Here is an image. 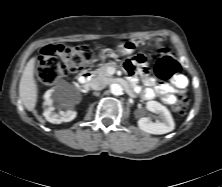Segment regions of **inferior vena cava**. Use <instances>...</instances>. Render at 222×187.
<instances>
[{
	"label": "inferior vena cava",
	"instance_id": "obj_1",
	"mask_svg": "<svg viewBox=\"0 0 222 187\" xmlns=\"http://www.w3.org/2000/svg\"><path fill=\"white\" fill-rule=\"evenodd\" d=\"M106 85H107L106 79L101 77H96L92 79V81L90 82V87L93 90H102L106 87Z\"/></svg>",
	"mask_w": 222,
	"mask_h": 187
}]
</instances>
